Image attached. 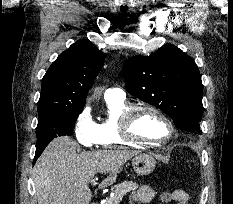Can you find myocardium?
<instances>
[{
	"mask_svg": "<svg viewBox=\"0 0 233 204\" xmlns=\"http://www.w3.org/2000/svg\"><path fill=\"white\" fill-rule=\"evenodd\" d=\"M141 111H150L156 114L157 116H159L166 123L169 132L165 139L156 141V140L141 138L138 137L136 134H134L132 130L133 122L136 115ZM120 134L124 140L131 143L146 145V146H160L171 141V139L174 137L175 134V127L171 119L160 108L152 104H146V103L136 104V105H131L122 114L120 119Z\"/></svg>",
	"mask_w": 233,
	"mask_h": 204,
	"instance_id": "myocardium-1",
	"label": "myocardium"
}]
</instances>
